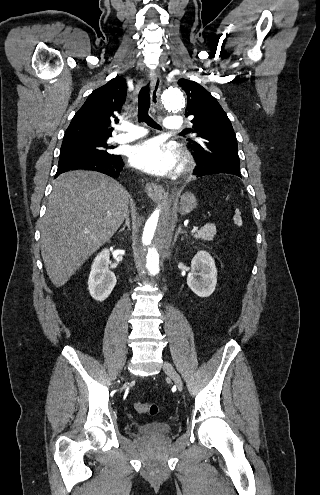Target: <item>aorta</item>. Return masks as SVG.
I'll return each instance as SVG.
<instances>
[{
  "label": "aorta",
  "instance_id": "aorta-1",
  "mask_svg": "<svg viewBox=\"0 0 320 495\" xmlns=\"http://www.w3.org/2000/svg\"><path fill=\"white\" fill-rule=\"evenodd\" d=\"M164 107L172 112L179 111L184 105V97L178 89H167L162 93ZM172 210L169 204L157 208L145 222L141 232V252L151 275L160 271V247L170 240L172 232Z\"/></svg>",
  "mask_w": 320,
  "mask_h": 495
}]
</instances>
